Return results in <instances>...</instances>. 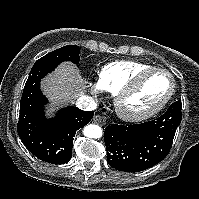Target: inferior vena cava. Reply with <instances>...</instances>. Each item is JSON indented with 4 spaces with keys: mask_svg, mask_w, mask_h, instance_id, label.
<instances>
[{
    "mask_svg": "<svg viewBox=\"0 0 199 199\" xmlns=\"http://www.w3.org/2000/svg\"><path fill=\"white\" fill-rule=\"evenodd\" d=\"M76 107L84 111H93L97 108V103L93 97L82 95L77 99Z\"/></svg>",
    "mask_w": 199,
    "mask_h": 199,
    "instance_id": "1",
    "label": "inferior vena cava"
}]
</instances>
